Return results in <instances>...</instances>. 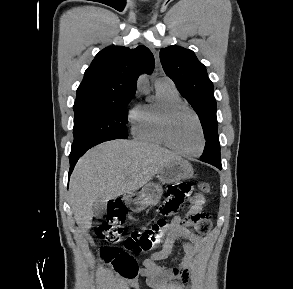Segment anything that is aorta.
Listing matches in <instances>:
<instances>
[{"label": "aorta", "instance_id": "aorta-1", "mask_svg": "<svg viewBox=\"0 0 293 289\" xmlns=\"http://www.w3.org/2000/svg\"><path fill=\"white\" fill-rule=\"evenodd\" d=\"M148 83H149V81H148V78H147L146 76H141V77L139 78V80H138V86H139L140 88H145V87H147V86H148Z\"/></svg>", "mask_w": 293, "mask_h": 289}]
</instances>
